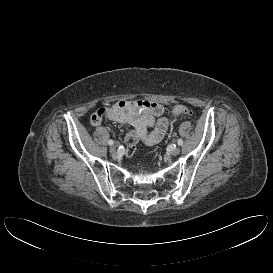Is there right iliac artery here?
<instances>
[{
	"mask_svg": "<svg viewBox=\"0 0 273 273\" xmlns=\"http://www.w3.org/2000/svg\"><path fill=\"white\" fill-rule=\"evenodd\" d=\"M108 144L111 146V145L114 144V141H113V140H109V141H108Z\"/></svg>",
	"mask_w": 273,
	"mask_h": 273,
	"instance_id": "obj_1",
	"label": "right iliac artery"
}]
</instances>
